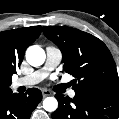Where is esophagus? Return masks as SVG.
Masks as SVG:
<instances>
[{"mask_svg":"<svg viewBox=\"0 0 119 119\" xmlns=\"http://www.w3.org/2000/svg\"><path fill=\"white\" fill-rule=\"evenodd\" d=\"M42 95H43V97H47V96H50L51 95V92L49 90L43 89L42 90Z\"/></svg>","mask_w":119,"mask_h":119,"instance_id":"1","label":"esophagus"}]
</instances>
